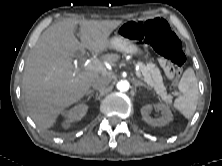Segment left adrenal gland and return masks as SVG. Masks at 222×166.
I'll return each mask as SVG.
<instances>
[{
	"label": "left adrenal gland",
	"instance_id": "left-adrenal-gland-1",
	"mask_svg": "<svg viewBox=\"0 0 222 166\" xmlns=\"http://www.w3.org/2000/svg\"><path fill=\"white\" fill-rule=\"evenodd\" d=\"M134 84H135V86H144L147 89H150L146 84H144L143 82L138 81V80H134Z\"/></svg>",
	"mask_w": 222,
	"mask_h": 166
}]
</instances>
